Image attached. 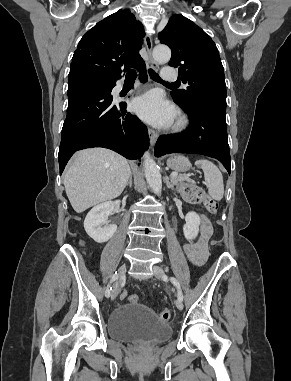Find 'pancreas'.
Masks as SVG:
<instances>
[{
    "label": "pancreas",
    "instance_id": "cf45deb5",
    "mask_svg": "<svg viewBox=\"0 0 291 381\" xmlns=\"http://www.w3.org/2000/svg\"><path fill=\"white\" fill-rule=\"evenodd\" d=\"M171 179L174 184L183 183V182H190L194 184V182L189 177H186V175H183V174H178L176 177Z\"/></svg>",
    "mask_w": 291,
    "mask_h": 381
}]
</instances>
